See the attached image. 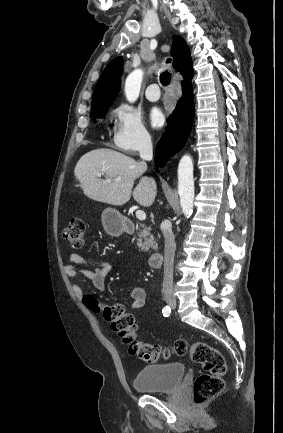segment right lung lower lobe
<instances>
[{
  "label": "right lung lower lobe",
  "mask_w": 283,
  "mask_h": 433,
  "mask_svg": "<svg viewBox=\"0 0 283 433\" xmlns=\"http://www.w3.org/2000/svg\"><path fill=\"white\" fill-rule=\"evenodd\" d=\"M192 76L182 82V97L177 102L176 108L170 115L166 133L162 135L156 147V167L166 162L169 156L183 148L191 131L194 118V103Z\"/></svg>",
  "instance_id": "right-lung-lower-lobe-1"
}]
</instances>
